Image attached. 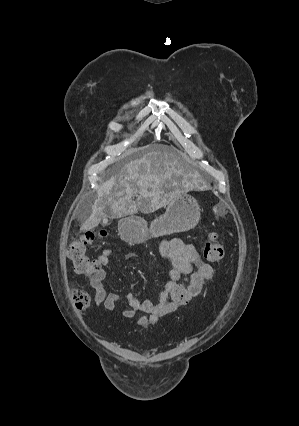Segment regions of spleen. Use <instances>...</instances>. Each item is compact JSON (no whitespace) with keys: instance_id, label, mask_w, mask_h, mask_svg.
I'll use <instances>...</instances> for the list:
<instances>
[{"instance_id":"1","label":"spleen","mask_w":299,"mask_h":426,"mask_svg":"<svg viewBox=\"0 0 299 426\" xmlns=\"http://www.w3.org/2000/svg\"><path fill=\"white\" fill-rule=\"evenodd\" d=\"M213 211H214V213L218 216V211H217V208H216V207H214V208H213Z\"/></svg>"}]
</instances>
